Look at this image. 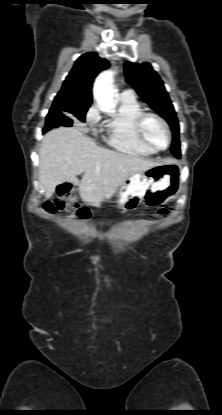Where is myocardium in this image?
I'll use <instances>...</instances> for the list:
<instances>
[{
	"instance_id": "myocardium-1",
	"label": "myocardium",
	"mask_w": 222,
	"mask_h": 415,
	"mask_svg": "<svg viewBox=\"0 0 222 415\" xmlns=\"http://www.w3.org/2000/svg\"><path fill=\"white\" fill-rule=\"evenodd\" d=\"M149 118H154V119L158 120L163 125V127L166 131V134H167V144L164 147H159V146L153 144L147 138V136L145 134V123ZM135 129H136V133H137V136L140 139V141L142 143H144L145 145H147L148 147H150V148H152L156 151L165 150L171 144L172 133H171L170 126H169L168 122L166 121V119L163 116H161L160 114L156 113V112L143 111L136 119Z\"/></svg>"
}]
</instances>
